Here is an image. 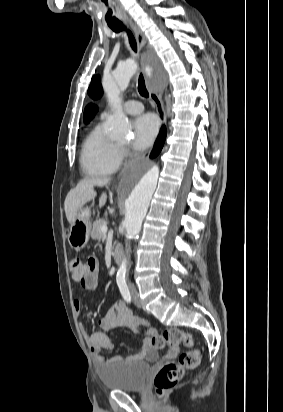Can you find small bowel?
Wrapping results in <instances>:
<instances>
[{"instance_id": "obj_1", "label": "small bowel", "mask_w": 283, "mask_h": 412, "mask_svg": "<svg viewBox=\"0 0 283 412\" xmlns=\"http://www.w3.org/2000/svg\"><path fill=\"white\" fill-rule=\"evenodd\" d=\"M83 288L89 291L96 290L99 285L98 268L95 272L87 275L81 280ZM73 307L78 317L83 314V304L81 300L75 299L73 301ZM98 326L104 331H109L119 327H128L133 331H139L141 327L145 328L142 349L138 354L122 357L119 355L109 358L110 362L120 363L123 361L139 362L143 360H150L155 357L154 349L150 342V336L156 334L155 330L149 328V322L144 318H138L133 315L132 311L127 307L123 301H118L112 307H110L106 313L98 319ZM82 332L86 338V341L91 349L92 356L95 363L102 369L105 366L106 359L101 355L102 350H112L114 344L109 336L104 332H91L89 329L82 325ZM178 354V348L171 347L167 352L168 358H174Z\"/></svg>"}]
</instances>
